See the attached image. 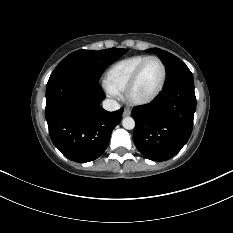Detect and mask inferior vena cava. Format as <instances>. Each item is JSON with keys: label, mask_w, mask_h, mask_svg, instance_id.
Here are the masks:
<instances>
[{"label": "inferior vena cava", "mask_w": 233, "mask_h": 233, "mask_svg": "<svg viewBox=\"0 0 233 233\" xmlns=\"http://www.w3.org/2000/svg\"><path fill=\"white\" fill-rule=\"evenodd\" d=\"M103 108L107 111L112 112V111H116V110L120 109V105L115 100L106 99L103 101Z\"/></svg>", "instance_id": "obj_1"}]
</instances>
